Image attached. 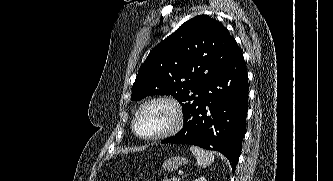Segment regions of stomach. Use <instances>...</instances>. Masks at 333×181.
Segmentation results:
<instances>
[{
  "label": "stomach",
  "instance_id": "0dacf381",
  "mask_svg": "<svg viewBox=\"0 0 333 181\" xmlns=\"http://www.w3.org/2000/svg\"><path fill=\"white\" fill-rule=\"evenodd\" d=\"M186 163L187 160L183 157H172L164 161L162 168L167 171H172Z\"/></svg>",
  "mask_w": 333,
  "mask_h": 181
}]
</instances>
